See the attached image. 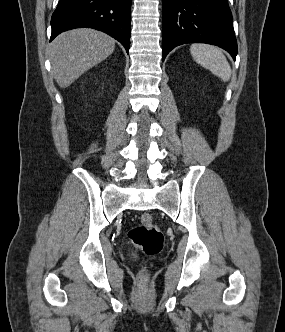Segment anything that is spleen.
Here are the masks:
<instances>
[{
	"instance_id": "3e777b00",
	"label": "spleen",
	"mask_w": 285,
	"mask_h": 332,
	"mask_svg": "<svg viewBox=\"0 0 285 332\" xmlns=\"http://www.w3.org/2000/svg\"><path fill=\"white\" fill-rule=\"evenodd\" d=\"M190 52L198 64L210 70L224 82L230 80V64L218 47L208 44H193L190 47Z\"/></svg>"
}]
</instances>
